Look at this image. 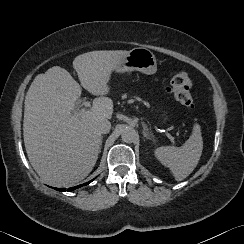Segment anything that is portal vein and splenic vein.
<instances>
[{
  "instance_id": "obj_1",
  "label": "portal vein and splenic vein",
  "mask_w": 244,
  "mask_h": 244,
  "mask_svg": "<svg viewBox=\"0 0 244 244\" xmlns=\"http://www.w3.org/2000/svg\"><path fill=\"white\" fill-rule=\"evenodd\" d=\"M83 106H84V107L81 108V109H78V110L76 111V113L85 111L86 108L90 107V102H89V101L84 102V103H83ZM168 137H169V139L171 140L172 143H175V137H173V136L170 135V134L168 135Z\"/></svg>"
}]
</instances>
